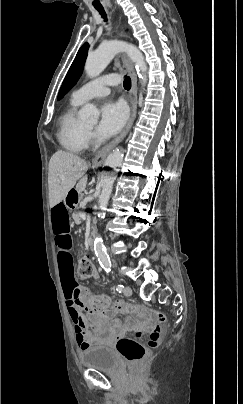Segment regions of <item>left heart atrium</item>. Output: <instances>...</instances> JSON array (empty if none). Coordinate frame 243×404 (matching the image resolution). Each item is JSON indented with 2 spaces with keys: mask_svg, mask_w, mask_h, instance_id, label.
I'll list each match as a JSON object with an SVG mask.
<instances>
[{
  "mask_svg": "<svg viewBox=\"0 0 243 404\" xmlns=\"http://www.w3.org/2000/svg\"><path fill=\"white\" fill-rule=\"evenodd\" d=\"M127 117L126 109L122 103L108 100L101 109L97 132L100 136L110 137L116 134L124 125Z\"/></svg>",
  "mask_w": 243,
  "mask_h": 404,
  "instance_id": "obj_1",
  "label": "left heart atrium"
}]
</instances>
